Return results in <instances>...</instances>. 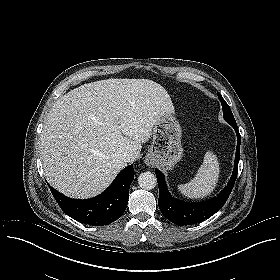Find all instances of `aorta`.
Masks as SVG:
<instances>
[{"mask_svg":"<svg viewBox=\"0 0 280 280\" xmlns=\"http://www.w3.org/2000/svg\"><path fill=\"white\" fill-rule=\"evenodd\" d=\"M138 184L142 189L151 190L157 185L156 176L151 172H143L138 177Z\"/></svg>","mask_w":280,"mask_h":280,"instance_id":"1","label":"aorta"}]
</instances>
